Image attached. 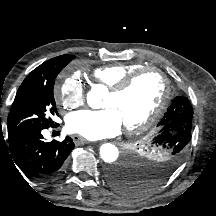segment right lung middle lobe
<instances>
[{
  "mask_svg": "<svg viewBox=\"0 0 216 216\" xmlns=\"http://www.w3.org/2000/svg\"><path fill=\"white\" fill-rule=\"evenodd\" d=\"M74 58L65 55L55 59L42 75L18 89L7 120L8 135L27 129H46L53 124L50 116L58 115L53 95L55 79Z\"/></svg>",
  "mask_w": 216,
  "mask_h": 216,
  "instance_id": "1",
  "label": "right lung middle lobe"
}]
</instances>
